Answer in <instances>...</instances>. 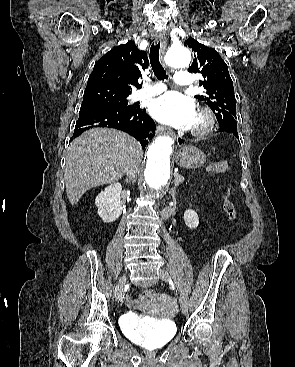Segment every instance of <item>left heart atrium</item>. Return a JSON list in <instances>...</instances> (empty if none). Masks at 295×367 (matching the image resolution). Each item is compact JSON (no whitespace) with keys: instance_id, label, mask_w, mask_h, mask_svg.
Returning <instances> with one entry per match:
<instances>
[{"instance_id":"39dd6f15","label":"left heart atrium","mask_w":295,"mask_h":367,"mask_svg":"<svg viewBox=\"0 0 295 367\" xmlns=\"http://www.w3.org/2000/svg\"><path fill=\"white\" fill-rule=\"evenodd\" d=\"M149 113L157 121L176 128H188L195 120L193 101L176 91H170L152 100Z\"/></svg>"}]
</instances>
